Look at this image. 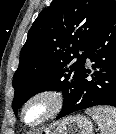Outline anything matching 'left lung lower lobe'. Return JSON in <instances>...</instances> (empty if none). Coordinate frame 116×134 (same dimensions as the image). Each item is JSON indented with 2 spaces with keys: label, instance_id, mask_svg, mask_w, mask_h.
<instances>
[{
  "label": "left lung lower lobe",
  "instance_id": "left-lung-lower-lobe-1",
  "mask_svg": "<svg viewBox=\"0 0 116 134\" xmlns=\"http://www.w3.org/2000/svg\"><path fill=\"white\" fill-rule=\"evenodd\" d=\"M86 58L94 62V71L83 68L74 98L63 105L57 119L94 106L116 107V2L90 41Z\"/></svg>",
  "mask_w": 116,
  "mask_h": 134
}]
</instances>
